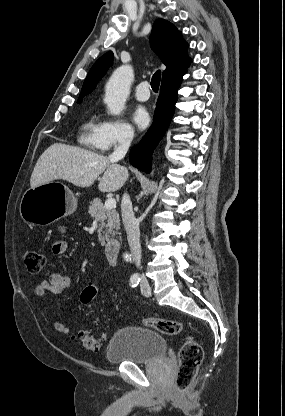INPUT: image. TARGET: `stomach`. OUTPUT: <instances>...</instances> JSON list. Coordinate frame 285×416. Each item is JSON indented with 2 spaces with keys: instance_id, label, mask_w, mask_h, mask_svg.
I'll list each match as a JSON object with an SVG mask.
<instances>
[{
  "instance_id": "1",
  "label": "stomach",
  "mask_w": 285,
  "mask_h": 416,
  "mask_svg": "<svg viewBox=\"0 0 285 416\" xmlns=\"http://www.w3.org/2000/svg\"><path fill=\"white\" fill-rule=\"evenodd\" d=\"M77 208V198L61 182L29 188L20 202V216L27 224L49 226L60 218L71 216Z\"/></svg>"
}]
</instances>
